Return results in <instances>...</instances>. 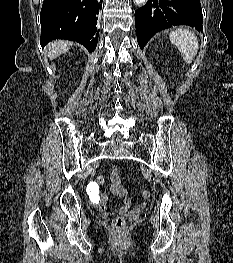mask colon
<instances>
[{
	"mask_svg": "<svg viewBox=\"0 0 233 263\" xmlns=\"http://www.w3.org/2000/svg\"><path fill=\"white\" fill-rule=\"evenodd\" d=\"M86 185L88 187V194L86 195V198L89 199L90 202H99L101 190H99L100 188L98 186V182H87ZM139 196L143 200H148L150 198V192L146 189L141 190L139 192ZM125 226L126 223L122 217H115L112 221V229L115 233H121L125 229Z\"/></svg>",
	"mask_w": 233,
	"mask_h": 263,
	"instance_id": "1",
	"label": "colon"
}]
</instances>
